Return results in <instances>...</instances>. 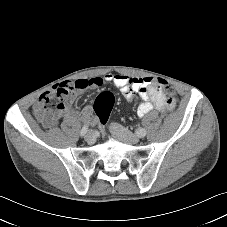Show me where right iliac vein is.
<instances>
[{"instance_id": "1", "label": "right iliac vein", "mask_w": 227, "mask_h": 227, "mask_svg": "<svg viewBox=\"0 0 227 227\" xmlns=\"http://www.w3.org/2000/svg\"><path fill=\"white\" fill-rule=\"evenodd\" d=\"M85 140H86L88 143H93L94 140H95L94 133H93L92 131H88L87 134L85 135Z\"/></svg>"}]
</instances>
